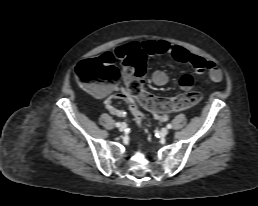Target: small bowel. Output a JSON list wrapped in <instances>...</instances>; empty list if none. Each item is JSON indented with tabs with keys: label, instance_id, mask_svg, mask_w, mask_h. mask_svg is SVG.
I'll use <instances>...</instances> for the list:
<instances>
[{
	"label": "small bowel",
	"instance_id": "small-bowel-1",
	"mask_svg": "<svg viewBox=\"0 0 258 206\" xmlns=\"http://www.w3.org/2000/svg\"><path fill=\"white\" fill-rule=\"evenodd\" d=\"M113 57L112 54L107 53ZM137 54L146 55H170L175 61L193 67L196 75L203 72L208 73L207 83H217L222 79V71L215 62L201 57L199 55L190 53L181 46L172 45L165 40H146L143 42H129L116 48L115 55L125 61ZM168 75L161 70L155 71L152 75V82L157 86H164L168 82ZM194 78L191 74H184L179 79L180 87L187 91L192 89ZM98 96L105 97V105L110 113L117 116L124 115V112L114 105L116 99H126V96L117 93L113 88H103L98 92ZM160 121L167 119L166 114H156Z\"/></svg>",
	"mask_w": 258,
	"mask_h": 206
}]
</instances>
